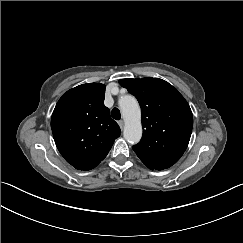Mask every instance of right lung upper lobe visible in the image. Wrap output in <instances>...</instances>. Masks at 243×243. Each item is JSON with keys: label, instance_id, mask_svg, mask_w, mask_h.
Here are the masks:
<instances>
[{"label": "right lung upper lobe", "instance_id": "cb5924a9", "mask_svg": "<svg viewBox=\"0 0 243 243\" xmlns=\"http://www.w3.org/2000/svg\"><path fill=\"white\" fill-rule=\"evenodd\" d=\"M105 85L82 84L57 102L51 118L56 146L65 160L80 170L96 167L120 136V127L104 106Z\"/></svg>", "mask_w": 243, "mask_h": 243}]
</instances>
